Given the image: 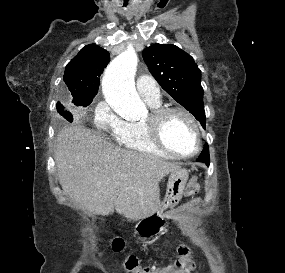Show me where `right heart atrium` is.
I'll return each instance as SVG.
<instances>
[{
    "label": "right heart atrium",
    "mask_w": 285,
    "mask_h": 273,
    "mask_svg": "<svg viewBox=\"0 0 285 273\" xmlns=\"http://www.w3.org/2000/svg\"><path fill=\"white\" fill-rule=\"evenodd\" d=\"M93 121L96 129L110 134L115 139L127 125L106 100H100L95 106Z\"/></svg>",
    "instance_id": "right-heart-atrium-1"
}]
</instances>
